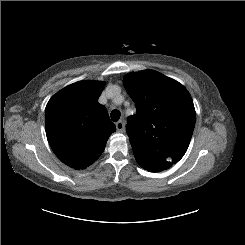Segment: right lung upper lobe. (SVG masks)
<instances>
[{
	"label": "right lung upper lobe",
	"mask_w": 245,
	"mask_h": 245,
	"mask_svg": "<svg viewBox=\"0 0 245 245\" xmlns=\"http://www.w3.org/2000/svg\"><path fill=\"white\" fill-rule=\"evenodd\" d=\"M101 81H80L56 93L45 109L48 142L66 165L85 169L102 154L115 132L105 107L98 103Z\"/></svg>",
	"instance_id": "cb5924a9"
}]
</instances>
